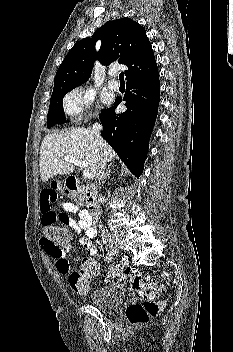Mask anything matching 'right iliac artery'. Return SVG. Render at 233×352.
I'll use <instances>...</instances> for the list:
<instances>
[{
	"mask_svg": "<svg viewBox=\"0 0 233 352\" xmlns=\"http://www.w3.org/2000/svg\"><path fill=\"white\" fill-rule=\"evenodd\" d=\"M106 260H107L108 262H111V261L113 260L112 255H111V254H107V255H106Z\"/></svg>",
	"mask_w": 233,
	"mask_h": 352,
	"instance_id": "obj_1",
	"label": "right iliac artery"
}]
</instances>
